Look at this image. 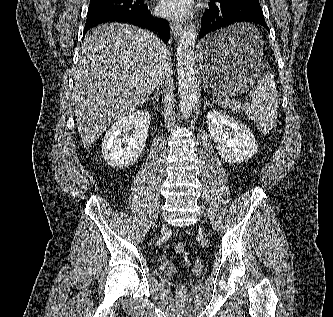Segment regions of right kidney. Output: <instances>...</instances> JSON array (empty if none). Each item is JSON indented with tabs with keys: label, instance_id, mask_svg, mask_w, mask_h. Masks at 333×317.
<instances>
[{
	"label": "right kidney",
	"instance_id": "ca27d5eb",
	"mask_svg": "<svg viewBox=\"0 0 333 317\" xmlns=\"http://www.w3.org/2000/svg\"><path fill=\"white\" fill-rule=\"evenodd\" d=\"M150 119L148 111H136L119 118L108 129L102 142V154L108 165L121 168L138 160L147 140ZM132 128L135 132L128 135Z\"/></svg>",
	"mask_w": 333,
	"mask_h": 317
}]
</instances>
